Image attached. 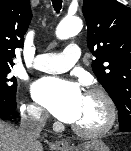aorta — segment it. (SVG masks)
<instances>
[{"label":"aorta","instance_id":"aorta-1","mask_svg":"<svg viewBox=\"0 0 131 151\" xmlns=\"http://www.w3.org/2000/svg\"><path fill=\"white\" fill-rule=\"evenodd\" d=\"M82 29V21L78 17L64 18L56 28V36L59 39H68Z\"/></svg>","mask_w":131,"mask_h":151}]
</instances>
